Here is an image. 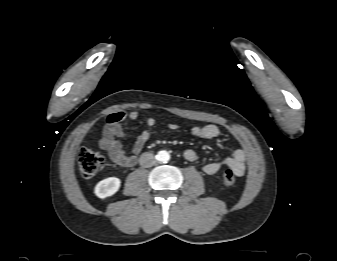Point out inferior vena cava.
Instances as JSON below:
<instances>
[{
  "mask_svg": "<svg viewBox=\"0 0 337 261\" xmlns=\"http://www.w3.org/2000/svg\"><path fill=\"white\" fill-rule=\"evenodd\" d=\"M139 163L141 166L148 168L155 165L156 159L152 153L145 152L140 156Z\"/></svg>",
  "mask_w": 337,
  "mask_h": 261,
  "instance_id": "inferior-vena-cava-1",
  "label": "inferior vena cava"
}]
</instances>
